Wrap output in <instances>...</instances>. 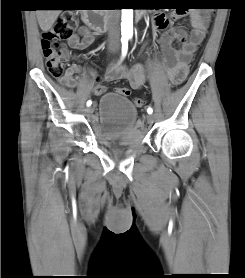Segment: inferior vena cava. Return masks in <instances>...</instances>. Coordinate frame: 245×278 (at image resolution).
<instances>
[{
    "label": "inferior vena cava",
    "instance_id": "1",
    "mask_svg": "<svg viewBox=\"0 0 245 278\" xmlns=\"http://www.w3.org/2000/svg\"><path fill=\"white\" fill-rule=\"evenodd\" d=\"M120 31H119V12L118 10L112 11L110 18V27L108 32L109 43L116 44L119 42Z\"/></svg>",
    "mask_w": 245,
    "mask_h": 278
}]
</instances>
